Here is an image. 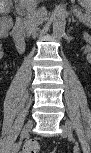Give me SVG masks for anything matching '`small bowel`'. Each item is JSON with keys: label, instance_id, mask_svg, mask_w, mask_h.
I'll list each match as a JSON object with an SVG mask.
<instances>
[{"label": "small bowel", "instance_id": "obj_1", "mask_svg": "<svg viewBox=\"0 0 91 153\" xmlns=\"http://www.w3.org/2000/svg\"><path fill=\"white\" fill-rule=\"evenodd\" d=\"M0 35L3 36V37L7 35V31L4 30L2 27H1V30H0Z\"/></svg>", "mask_w": 91, "mask_h": 153}]
</instances>
